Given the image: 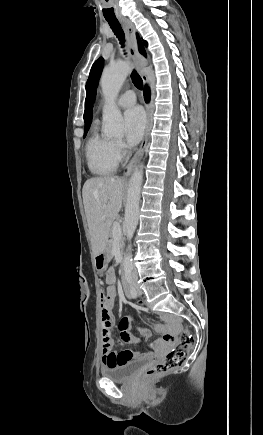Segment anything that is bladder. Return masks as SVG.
<instances>
[{"instance_id":"obj_1","label":"bladder","mask_w":263,"mask_h":435,"mask_svg":"<svg viewBox=\"0 0 263 435\" xmlns=\"http://www.w3.org/2000/svg\"><path fill=\"white\" fill-rule=\"evenodd\" d=\"M146 363L145 359H137L118 366H104L100 372L103 377L115 382H126L130 380L137 371Z\"/></svg>"}]
</instances>
